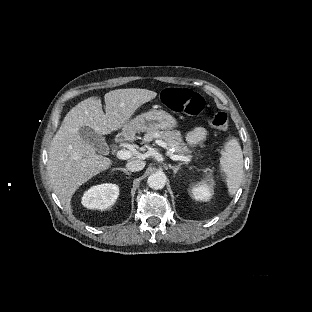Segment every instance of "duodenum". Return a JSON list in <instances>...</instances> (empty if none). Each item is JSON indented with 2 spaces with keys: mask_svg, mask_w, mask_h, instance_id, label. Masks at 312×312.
Returning <instances> with one entry per match:
<instances>
[{
  "mask_svg": "<svg viewBox=\"0 0 312 312\" xmlns=\"http://www.w3.org/2000/svg\"><path fill=\"white\" fill-rule=\"evenodd\" d=\"M130 134L128 132L122 133L117 137V141L120 144L127 142L130 139Z\"/></svg>",
  "mask_w": 312,
  "mask_h": 312,
  "instance_id": "1",
  "label": "duodenum"
}]
</instances>
